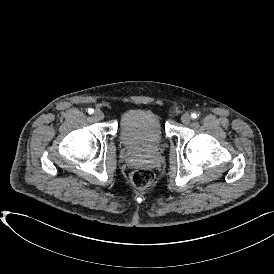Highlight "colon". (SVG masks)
I'll use <instances>...</instances> for the list:
<instances>
[{
	"instance_id": "5ec220e1",
	"label": "colon",
	"mask_w": 274,
	"mask_h": 274,
	"mask_svg": "<svg viewBox=\"0 0 274 274\" xmlns=\"http://www.w3.org/2000/svg\"><path fill=\"white\" fill-rule=\"evenodd\" d=\"M154 173L150 168H138L130 175V183L137 189H146L154 182Z\"/></svg>"
}]
</instances>
